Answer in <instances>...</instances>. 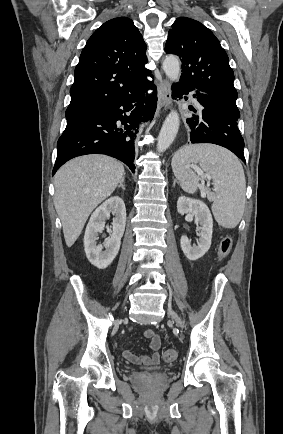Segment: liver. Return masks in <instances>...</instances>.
Wrapping results in <instances>:
<instances>
[{"mask_svg":"<svg viewBox=\"0 0 283 434\" xmlns=\"http://www.w3.org/2000/svg\"><path fill=\"white\" fill-rule=\"evenodd\" d=\"M124 172L122 163L99 154L74 158L58 170L54 205L68 247L81 234L91 212L114 192Z\"/></svg>","mask_w":283,"mask_h":434,"instance_id":"obj_1","label":"liver"}]
</instances>
